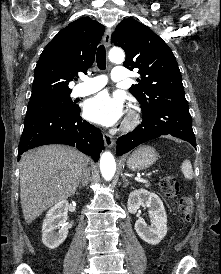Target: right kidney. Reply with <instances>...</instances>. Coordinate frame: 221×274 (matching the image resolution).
Here are the masks:
<instances>
[{"instance_id":"ca27d5eb","label":"right kidney","mask_w":221,"mask_h":274,"mask_svg":"<svg viewBox=\"0 0 221 274\" xmlns=\"http://www.w3.org/2000/svg\"><path fill=\"white\" fill-rule=\"evenodd\" d=\"M68 201L61 200L46 214L42 225V242L49 249L59 247L67 238ZM58 229V231H56Z\"/></svg>"}]
</instances>
